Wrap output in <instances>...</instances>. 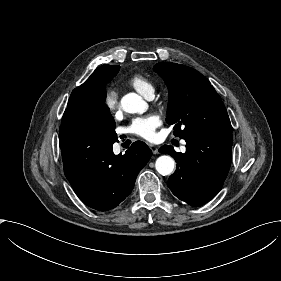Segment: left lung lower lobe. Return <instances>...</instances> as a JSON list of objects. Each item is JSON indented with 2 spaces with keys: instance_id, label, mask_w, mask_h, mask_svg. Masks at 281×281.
<instances>
[{
  "instance_id": "1",
  "label": "left lung lower lobe",
  "mask_w": 281,
  "mask_h": 281,
  "mask_svg": "<svg viewBox=\"0 0 281 281\" xmlns=\"http://www.w3.org/2000/svg\"><path fill=\"white\" fill-rule=\"evenodd\" d=\"M185 154L164 145L159 151L177 162L167 185L180 200L191 206L210 201L222 188L231 165L232 135H209L185 139Z\"/></svg>"
}]
</instances>
